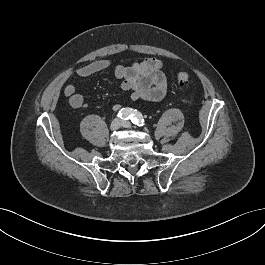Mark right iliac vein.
<instances>
[{"instance_id":"1","label":"right iliac vein","mask_w":265,"mask_h":265,"mask_svg":"<svg viewBox=\"0 0 265 265\" xmlns=\"http://www.w3.org/2000/svg\"><path fill=\"white\" fill-rule=\"evenodd\" d=\"M120 126H121V120L119 118H115L110 124V130L115 131L119 129Z\"/></svg>"}]
</instances>
